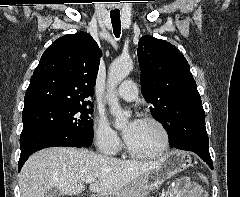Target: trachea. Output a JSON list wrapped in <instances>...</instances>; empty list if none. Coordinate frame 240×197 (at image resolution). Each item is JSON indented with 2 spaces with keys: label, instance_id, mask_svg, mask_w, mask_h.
Listing matches in <instances>:
<instances>
[{
  "label": "trachea",
  "instance_id": "3493384b",
  "mask_svg": "<svg viewBox=\"0 0 240 197\" xmlns=\"http://www.w3.org/2000/svg\"><path fill=\"white\" fill-rule=\"evenodd\" d=\"M110 17H111V23L113 26V32L115 36L118 38L121 33L120 13L111 12Z\"/></svg>",
  "mask_w": 240,
  "mask_h": 197
}]
</instances>
